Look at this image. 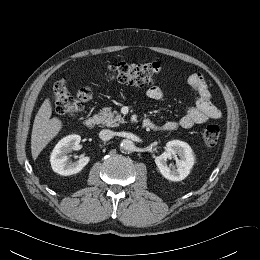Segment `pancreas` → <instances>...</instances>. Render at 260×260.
<instances>
[{
	"label": "pancreas",
	"mask_w": 260,
	"mask_h": 260,
	"mask_svg": "<svg viewBox=\"0 0 260 260\" xmlns=\"http://www.w3.org/2000/svg\"><path fill=\"white\" fill-rule=\"evenodd\" d=\"M99 123L107 127H116L119 123H124L125 120L117 111H112L111 108H103L99 114Z\"/></svg>",
	"instance_id": "obj_1"
}]
</instances>
